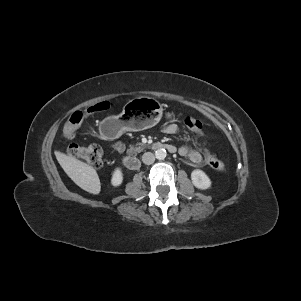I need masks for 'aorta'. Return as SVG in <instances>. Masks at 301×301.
<instances>
[{
	"mask_svg": "<svg viewBox=\"0 0 301 301\" xmlns=\"http://www.w3.org/2000/svg\"><path fill=\"white\" fill-rule=\"evenodd\" d=\"M166 155H167L166 150L163 148H159L155 151V157L159 160L164 159Z\"/></svg>",
	"mask_w": 301,
	"mask_h": 301,
	"instance_id": "aorta-1",
	"label": "aorta"
}]
</instances>
